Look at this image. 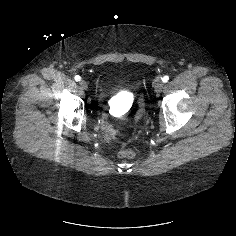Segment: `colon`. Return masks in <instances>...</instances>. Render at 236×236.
<instances>
[{"instance_id": "obj_1", "label": "colon", "mask_w": 236, "mask_h": 236, "mask_svg": "<svg viewBox=\"0 0 236 236\" xmlns=\"http://www.w3.org/2000/svg\"><path fill=\"white\" fill-rule=\"evenodd\" d=\"M142 112H143V108L140 107L138 112H137V115H136V121L139 122L140 121V117L142 115ZM134 155V153L130 150H122L119 152V157L121 158H132Z\"/></svg>"}]
</instances>
